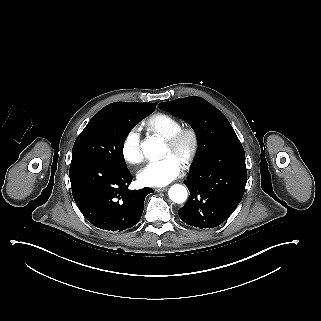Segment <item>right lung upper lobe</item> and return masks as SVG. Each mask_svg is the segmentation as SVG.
I'll return each mask as SVG.
<instances>
[{"instance_id":"1","label":"right lung upper lobe","mask_w":321,"mask_h":321,"mask_svg":"<svg viewBox=\"0 0 321 321\" xmlns=\"http://www.w3.org/2000/svg\"><path fill=\"white\" fill-rule=\"evenodd\" d=\"M108 108L114 109L119 115L132 117L147 111L153 112L156 103L116 102L108 105Z\"/></svg>"}]
</instances>
